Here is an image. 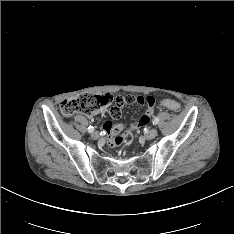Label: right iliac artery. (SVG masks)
I'll return each mask as SVG.
<instances>
[{"mask_svg":"<svg viewBox=\"0 0 234 234\" xmlns=\"http://www.w3.org/2000/svg\"><path fill=\"white\" fill-rule=\"evenodd\" d=\"M93 131H94V127L89 126V127H88V132H89V133H92Z\"/></svg>","mask_w":234,"mask_h":234,"instance_id":"1","label":"right iliac artery"}]
</instances>
